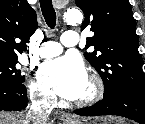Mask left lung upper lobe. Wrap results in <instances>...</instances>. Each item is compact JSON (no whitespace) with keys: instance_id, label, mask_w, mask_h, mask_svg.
Here are the masks:
<instances>
[{"instance_id":"5c2ea615","label":"left lung upper lobe","mask_w":145,"mask_h":124,"mask_svg":"<svg viewBox=\"0 0 145 124\" xmlns=\"http://www.w3.org/2000/svg\"><path fill=\"white\" fill-rule=\"evenodd\" d=\"M85 14L81 31L90 28L95 34L87 38L88 62L104 82V97L124 88L145 92L142 59L138 52L136 22L129 0H75Z\"/></svg>"}]
</instances>
